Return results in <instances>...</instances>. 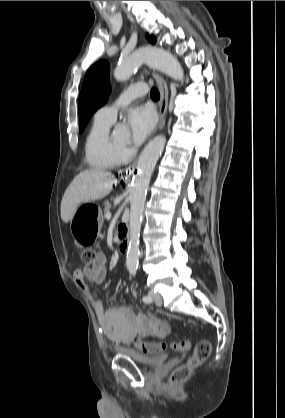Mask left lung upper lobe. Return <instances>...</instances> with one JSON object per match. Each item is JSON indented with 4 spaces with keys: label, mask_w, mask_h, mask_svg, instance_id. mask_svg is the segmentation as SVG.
<instances>
[{
    "label": "left lung upper lobe",
    "mask_w": 285,
    "mask_h": 418,
    "mask_svg": "<svg viewBox=\"0 0 285 418\" xmlns=\"http://www.w3.org/2000/svg\"><path fill=\"white\" fill-rule=\"evenodd\" d=\"M147 38L150 43L156 42L154 36L147 35ZM109 71V63L101 60L89 69L84 78L78 104L80 132L84 130L94 112L108 100L111 91Z\"/></svg>",
    "instance_id": "1"
}]
</instances>
